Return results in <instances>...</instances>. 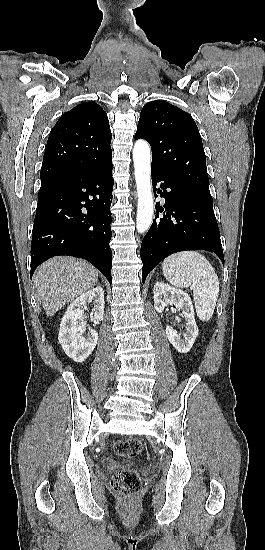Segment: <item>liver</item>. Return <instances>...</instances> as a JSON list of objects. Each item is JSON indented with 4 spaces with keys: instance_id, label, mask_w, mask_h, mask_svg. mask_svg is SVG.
Returning <instances> with one entry per match:
<instances>
[{
    "instance_id": "liver-1",
    "label": "liver",
    "mask_w": 265,
    "mask_h": 550,
    "mask_svg": "<svg viewBox=\"0 0 265 550\" xmlns=\"http://www.w3.org/2000/svg\"><path fill=\"white\" fill-rule=\"evenodd\" d=\"M98 281V271L90 263L59 256L40 265L34 275L38 297L48 317L81 296Z\"/></svg>"
}]
</instances>
